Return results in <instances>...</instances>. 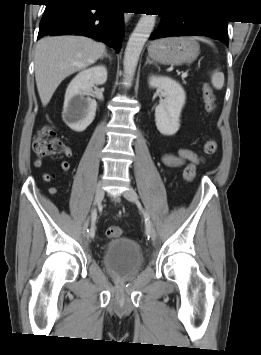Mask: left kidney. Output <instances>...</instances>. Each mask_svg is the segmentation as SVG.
I'll use <instances>...</instances> for the list:
<instances>
[{
  "mask_svg": "<svg viewBox=\"0 0 261 355\" xmlns=\"http://www.w3.org/2000/svg\"><path fill=\"white\" fill-rule=\"evenodd\" d=\"M149 86L165 93L164 101L155 109L157 129L163 135H174L180 128V115L186 100L184 89L169 77L154 75L149 77Z\"/></svg>",
  "mask_w": 261,
  "mask_h": 355,
  "instance_id": "obj_1",
  "label": "left kidney"
}]
</instances>
